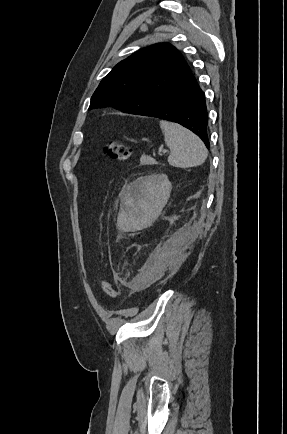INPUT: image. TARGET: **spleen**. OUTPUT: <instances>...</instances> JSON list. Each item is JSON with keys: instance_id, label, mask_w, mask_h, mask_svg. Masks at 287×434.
I'll use <instances>...</instances> for the list:
<instances>
[{"instance_id": "spleen-1", "label": "spleen", "mask_w": 287, "mask_h": 434, "mask_svg": "<svg viewBox=\"0 0 287 434\" xmlns=\"http://www.w3.org/2000/svg\"><path fill=\"white\" fill-rule=\"evenodd\" d=\"M164 133V141L170 148L168 163L178 168H189L203 164L208 151L201 139L183 126L160 121ZM143 221L141 224H145Z\"/></svg>"}]
</instances>
